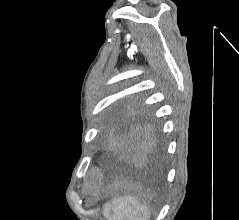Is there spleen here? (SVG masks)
I'll return each mask as SVG.
<instances>
[{"label":"spleen","mask_w":239,"mask_h":220,"mask_svg":"<svg viewBox=\"0 0 239 220\" xmlns=\"http://www.w3.org/2000/svg\"><path fill=\"white\" fill-rule=\"evenodd\" d=\"M103 215L107 220H150L151 211L137 197L120 196L104 205Z\"/></svg>","instance_id":"3e777b00"}]
</instances>
